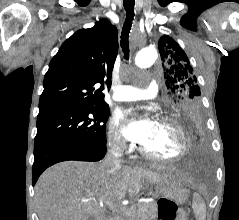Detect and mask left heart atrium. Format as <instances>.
<instances>
[{
  "label": "left heart atrium",
  "instance_id": "left-heart-atrium-1",
  "mask_svg": "<svg viewBox=\"0 0 239 220\" xmlns=\"http://www.w3.org/2000/svg\"><path fill=\"white\" fill-rule=\"evenodd\" d=\"M150 124L149 119L130 120L124 128V135L128 140L142 144L149 136Z\"/></svg>",
  "mask_w": 239,
  "mask_h": 220
}]
</instances>
